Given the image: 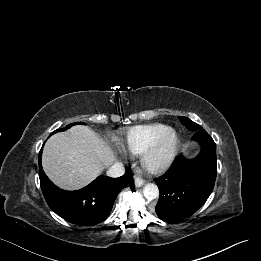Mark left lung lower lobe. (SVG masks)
I'll return each mask as SVG.
<instances>
[{
  "instance_id": "left-lung-lower-lobe-1",
  "label": "left lung lower lobe",
  "mask_w": 261,
  "mask_h": 261,
  "mask_svg": "<svg viewBox=\"0 0 261 261\" xmlns=\"http://www.w3.org/2000/svg\"><path fill=\"white\" fill-rule=\"evenodd\" d=\"M192 139L201 145L199 155L190 160L182 155L177 157L169 171L155 180L160 191L156 213L165 222H175L194 214L206 202L215 184V142L203 129Z\"/></svg>"
}]
</instances>
